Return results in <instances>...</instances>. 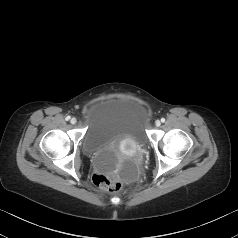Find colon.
Masks as SVG:
<instances>
[{
  "label": "colon",
  "mask_w": 238,
  "mask_h": 238,
  "mask_svg": "<svg viewBox=\"0 0 238 238\" xmlns=\"http://www.w3.org/2000/svg\"><path fill=\"white\" fill-rule=\"evenodd\" d=\"M93 183L107 191H118L122 187V180L114 174L95 172L92 176Z\"/></svg>",
  "instance_id": "5ec220e1"
}]
</instances>
